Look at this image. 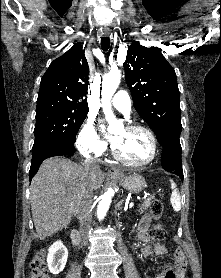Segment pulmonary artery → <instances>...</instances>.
I'll list each match as a JSON object with an SVG mask.
<instances>
[{
	"label": "pulmonary artery",
	"mask_w": 221,
	"mask_h": 278,
	"mask_svg": "<svg viewBox=\"0 0 221 278\" xmlns=\"http://www.w3.org/2000/svg\"><path fill=\"white\" fill-rule=\"evenodd\" d=\"M112 105L125 115L131 111V100L129 95L124 91L117 92L111 100Z\"/></svg>",
	"instance_id": "1"
}]
</instances>
